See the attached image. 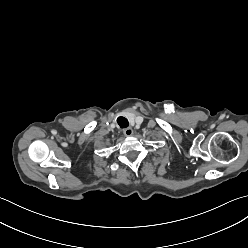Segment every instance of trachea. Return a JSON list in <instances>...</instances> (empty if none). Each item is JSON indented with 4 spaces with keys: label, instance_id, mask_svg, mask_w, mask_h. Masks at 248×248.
Instances as JSON below:
<instances>
[{
    "label": "trachea",
    "instance_id": "1",
    "mask_svg": "<svg viewBox=\"0 0 248 248\" xmlns=\"http://www.w3.org/2000/svg\"><path fill=\"white\" fill-rule=\"evenodd\" d=\"M117 122L121 128H126L129 126V122L125 117H118Z\"/></svg>",
    "mask_w": 248,
    "mask_h": 248
}]
</instances>
